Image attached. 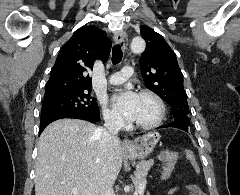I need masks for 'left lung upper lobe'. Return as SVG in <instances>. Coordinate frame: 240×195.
I'll return each mask as SVG.
<instances>
[{
  "instance_id": "5c2ea615",
  "label": "left lung upper lobe",
  "mask_w": 240,
  "mask_h": 195,
  "mask_svg": "<svg viewBox=\"0 0 240 195\" xmlns=\"http://www.w3.org/2000/svg\"><path fill=\"white\" fill-rule=\"evenodd\" d=\"M140 30L146 41L139 62L145 85L171 106L172 124L189 128V107L176 55L152 28L144 25Z\"/></svg>"
}]
</instances>
